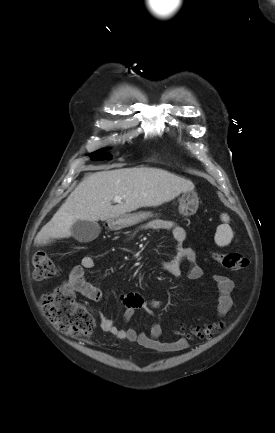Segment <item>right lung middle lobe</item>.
<instances>
[{"label":"right lung middle lobe","instance_id":"obj_1","mask_svg":"<svg viewBox=\"0 0 275 433\" xmlns=\"http://www.w3.org/2000/svg\"><path fill=\"white\" fill-rule=\"evenodd\" d=\"M90 157H92L93 160H99V159H103V158H110L111 155L104 152V151H97L95 153L90 154Z\"/></svg>","mask_w":275,"mask_h":433}]
</instances>
